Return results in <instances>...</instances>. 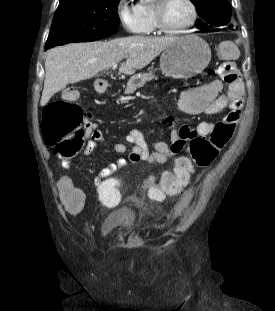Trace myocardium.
<instances>
[{
	"label": "myocardium",
	"mask_w": 275,
	"mask_h": 311,
	"mask_svg": "<svg viewBox=\"0 0 275 311\" xmlns=\"http://www.w3.org/2000/svg\"><path fill=\"white\" fill-rule=\"evenodd\" d=\"M153 4V14L155 20L156 29H158L161 33L167 35H178L186 33L197 21L198 10L194 0H185L190 7L191 10V18L186 25L178 29H169L166 27L163 21V9L165 5L169 2V0H154Z\"/></svg>",
	"instance_id": "obj_1"
}]
</instances>
